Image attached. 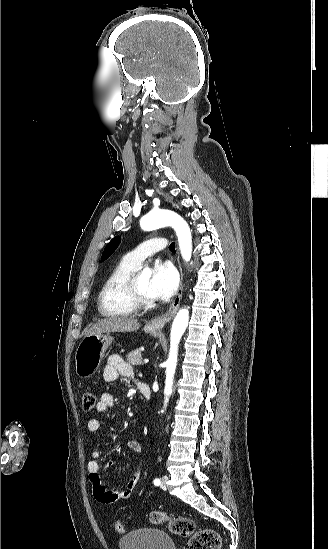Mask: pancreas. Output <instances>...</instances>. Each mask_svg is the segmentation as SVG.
<instances>
[{
	"instance_id": "obj_1",
	"label": "pancreas",
	"mask_w": 328,
	"mask_h": 549,
	"mask_svg": "<svg viewBox=\"0 0 328 549\" xmlns=\"http://www.w3.org/2000/svg\"><path fill=\"white\" fill-rule=\"evenodd\" d=\"M126 361L130 365H143L141 351H131V353L126 355Z\"/></svg>"
}]
</instances>
